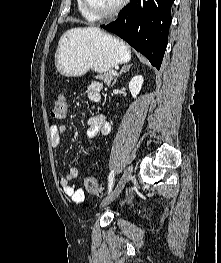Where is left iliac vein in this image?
<instances>
[{"instance_id":"obj_1","label":"left iliac vein","mask_w":221,"mask_h":263,"mask_svg":"<svg viewBox=\"0 0 221 263\" xmlns=\"http://www.w3.org/2000/svg\"><path fill=\"white\" fill-rule=\"evenodd\" d=\"M133 171L132 166H128V168L125 170L124 174L122 175L121 179L119 180L117 186L112 191V193L100 204V207H105L108 204H110L122 191L125 184L127 183L128 179L130 178Z\"/></svg>"}]
</instances>
